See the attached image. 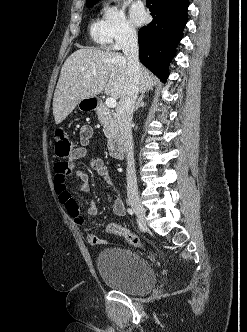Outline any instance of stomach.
Wrapping results in <instances>:
<instances>
[{"label":"stomach","mask_w":247,"mask_h":332,"mask_svg":"<svg viewBox=\"0 0 247 332\" xmlns=\"http://www.w3.org/2000/svg\"><path fill=\"white\" fill-rule=\"evenodd\" d=\"M88 99H83L78 103V106L81 110H89L92 109L91 107V101Z\"/></svg>","instance_id":"0dacf381"}]
</instances>
